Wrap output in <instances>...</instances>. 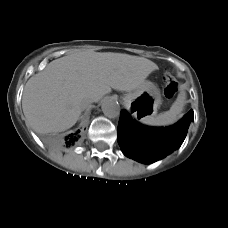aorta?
<instances>
[{
    "instance_id": "1",
    "label": "aorta",
    "mask_w": 228,
    "mask_h": 228,
    "mask_svg": "<svg viewBox=\"0 0 228 228\" xmlns=\"http://www.w3.org/2000/svg\"><path fill=\"white\" fill-rule=\"evenodd\" d=\"M101 108L105 116L109 118H116L120 115V105L114 99H105Z\"/></svg>"
}]
</instances>
